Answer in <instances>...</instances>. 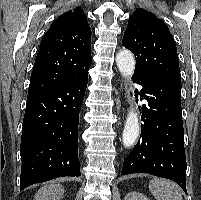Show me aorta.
Instances as JSON below:
<instances>
[{
  "label": "aorta",
  "instance_id": "obj_1",
  "mask_svg": "<svg viewBox=\"0 0 201 200\" xmlns=\"http://www.w3.org/2000/svg\"><path fill=\"white\" fill-rule=\"evenodd\" d=\"M117 67L127 80L133 75L135 69V58L129 50H122L116 55ZM139 135V119L133 107L129 111L124 130H123V144L125 147L132 146Z\"/></svg>",
  "mask_w": 201,
  "mask_h": 200
}]
</instances>
